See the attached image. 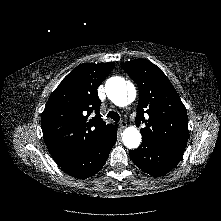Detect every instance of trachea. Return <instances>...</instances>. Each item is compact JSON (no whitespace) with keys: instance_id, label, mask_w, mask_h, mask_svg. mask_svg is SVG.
I'll list each match as a JSON object with an SVG mask.
<instances>
[{"instance_id":"obj_1","label":"trachea","mask_w":221,"mask_h":221,"mask_svg":"<svg viewBox=\"0 0 221 221\" xmlns=\"http://www.w3.org/2000/svg\"><path fill=\"white\" fill-rule=\"evenodd\" d=\"M108 116L113 119L114 121H119L120 120V116L117 112L114 111H109Z\"/></svg>"}]
</instances>
